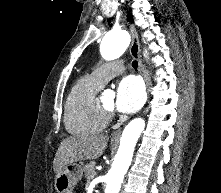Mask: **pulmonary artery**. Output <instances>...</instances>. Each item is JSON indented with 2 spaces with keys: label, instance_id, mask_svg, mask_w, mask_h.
Masks as SVG:
<instances>
[{
  "label": "pulmonary artery",
  "instance_id": "1",
  "mask_svg": "<svg viewBox=\"0 0 221 193\" xmlns=\"http://www.w3.org/2000/svg\"><path fill=\"white\" fill-rule=\"evenodd\" d=\"M124 63L122 61L111 62L92 71L90 76L99 85H103L106 81L124 71Z\"/></svg>",
  "mask_w": 221,
  "mask_h": 193
}]
</instances>
